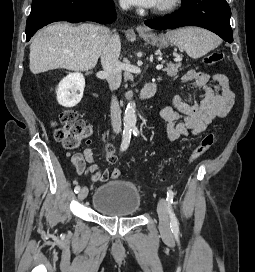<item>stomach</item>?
Listing matches in <instances>:
<instances>
[{
	"mask_svg": "<svg viewBox=\"0 0 255 272\" xmlns=\"http://www.w3.org/2000/svg\"><path fill=\"white\" fill-rule=\"evenodd\" d=\"M139 36L149 44L159 48H166L170 45L169 38L164 34L156 35L155 33H140Z\"/></svg>",
	"mask_w": 255,
	"mask_h": 272,
	"instance_id": "1",
	"label": "stomach"
}]
</instances>
